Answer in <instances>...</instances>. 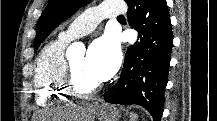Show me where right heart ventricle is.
<instances>
[{"label":"right heart ventricle","instance_id":"1","mask_svg":"<svg viewBox=\"0 0 217 121\" xmlns=\"http://www.w3.org/2000/svg\"><path fill=\"white\" fill-rule=\"evenodd\" d=\"M67 42L60 36L52 40L43 47L36 60L34 85L36 101L40 105L59 103L67 96L63 87L64 48Z\"/></svg>","mask_w":217,"mask_h":121}]
</instances>
